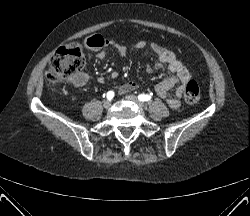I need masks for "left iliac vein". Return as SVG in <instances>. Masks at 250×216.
Masks as SVG:
<instances>
[{
  "label": "left iliac vein",
  "instance_id": "obj_1",
  "mask_svg": "<svg viewBox=\"0 0 250 216\" xmlns=\"http://www.w3.org/2000/svg\"><path fill=\"white\" fill-rule=\"evenodd\" d=\"M128 101L135 103L140 108L144 107V104L134 95H127L125 97Z\"/></svg>",
  "mask_w": 250,
  "mask_h": 216
}]
</instances>
